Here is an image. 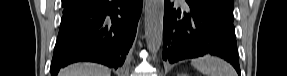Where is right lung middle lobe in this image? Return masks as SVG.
<instances>
[{
	"mask_svg": "<svg viewBox=\"0 0 287 76\" xmlns=\"http://www.w3.org/2000/svg\"><path fill=\"white\" fill-rule=\"evenodd\" d=\"M85 1L86 0H66V1H62V6L64 8L63 14H66V13L78 8Z\"/></svg>",
	"mask_w": 287,
	"mask_h": 76,
	"instance_id": "obj_1",
	"label": "right lung middle lobe"
}]
</instances>
